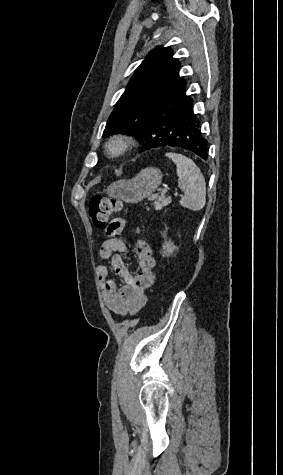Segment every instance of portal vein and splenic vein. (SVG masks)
Returning <instances> with one entry per match:
<instances>
[{
    "mask_svg": "<svg viewBox=\"0 0 283 475\" xmlns=\"http://www.w3.org/2000/svg\"><path fill=\"white\" fill-rule=\"evenodd\" d=\"M174 194H175V195H174L175 198H177V199L180 198V196H181L178 190H175V191H174Z\"/></svg>",
    "mask_w": 283,
    "mask_h": 475,
    "instance_id": "portal-vein-and-splenic-vein-1",
    "label": "portal vein and splenic vein"
}]
</instances>
